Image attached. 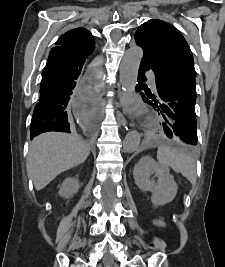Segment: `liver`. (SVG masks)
I'll list each match as a JSON object with an SVG mask.
<instances>
[{"mask_svg":"<svg viewBox=\"0 0 225 267\" xmlns=\"http://www.w3.org/2000/svg\"><path fill=\"white\" fill-rule=\"evenodd\" d=\"M89 154V145L76 133L41 134L30 142L27 173L39 191L62 172L82 164Z\"/></svg>","mask_w":225,"mask_h":267,"instance_id":"1","label":"liver"}]
</instances>
